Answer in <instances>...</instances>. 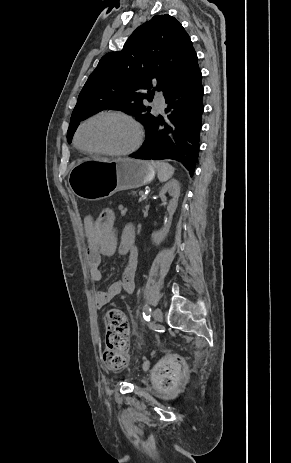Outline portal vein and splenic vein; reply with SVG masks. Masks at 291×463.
<instances>
[{
	"label": "portal vein and splenic vein",
	"instance_id": "obj_1",
	"mask_svg": "<svg viewBox=\"0 0 291 463\" xmlns=\"http://www.w3.org/2000/svg\"><path fill=\"white\" fill-rule=\"evenodd\" d=\"M139 195H140L141 197H143V196H144V192H143V191H140V192H139Z\"/></svg>",
	"mask_w": 291,
	"mask_h": 463
}]
</instances>
